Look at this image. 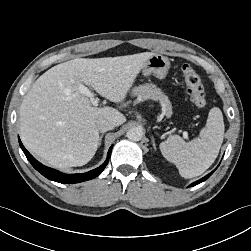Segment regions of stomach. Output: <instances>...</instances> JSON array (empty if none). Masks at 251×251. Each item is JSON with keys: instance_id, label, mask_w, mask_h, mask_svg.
I'll return each mask as SVG.
<instances>
[{"instance_id": "1", "label": "stomach", "mask_w": 251, "mask_h": 251, "mask_svg": "<svg viewBox=\"0 0 251 251\" xmlns=\"http://www.w3.org/2000/svg\"><path fill=\"white\" fill-rule=\"evenodd\" d=\"M170 68V60L160 54H154L150 57L142 68V73L144 76H148L150 74L156 75L159 79H164Z\"/></svg>"}]
</instances>
